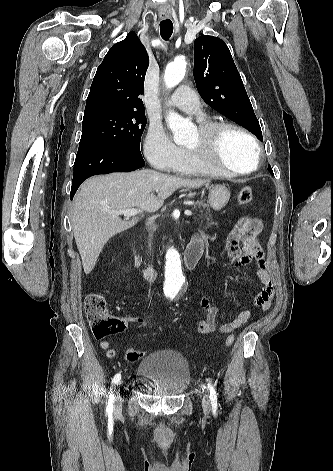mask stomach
Listing matches in <instances>:
<instances>
[{
  "label": "stomach",
  "instance_id": "obj_1",
  "mask_svg": "<svg viewBox=\"0 0 333 471\" xmlns=\"http://www.w3.org/2000/svg\"><path fill=\"white\" fill-rule=\"evenodd\" d=\"M230 199V191L224 185H215L210 188L208 203L213 210L223 209Z\"/></svg>",
  "mask_w": 333,
  "mask_h": 471
}]
</instances>
